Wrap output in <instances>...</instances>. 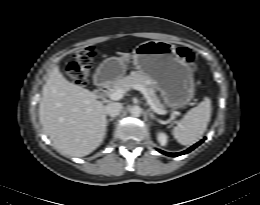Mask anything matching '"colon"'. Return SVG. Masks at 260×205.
<instances>
[{
	"label": "colon",
	"mask_w": 260,
	"mask_h": 205,
	"mask_svg": "<svg viewBox=\"0 0 260 205\" xmlns=\"http://www.w3.org/2000/svg\"><path fill=\"white\" fill-rule=\"evenodd\" d=\"M178 55L190 66L194 65V54L185 47L177 50ZM97 49L95 46H87L72 53V62L68 65L70 77L79 85H85L89 75L90 65L95 58Z\"/></svg>",
	"instance_id": "obj_1"
}]
</instances>
